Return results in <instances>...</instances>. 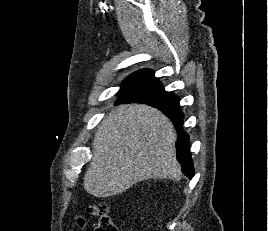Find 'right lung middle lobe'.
<instances>
[{"label":"right lung middle lobe","instance_id":"1","mask_svg":"<svg viewBox=\"0 0 268 231\" xmlns=\"http://www.w3.org/2000/svg\"><path fill=\"white\" fill-rule=\"evenodd\" d=\"M130 93L139 98L161 101L179 106V98L164 90L162 84L150 83L130 89H121L119 95Z\"/></svg>","mask_w":268,"mask_h":231}]
</instances>
